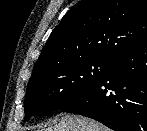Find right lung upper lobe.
I'll return each mask as SVG.
<instances>
[{
    "label": "right lung upper lobe",
    "instance_id": "cb5924a9",
    "mask_svg": "<svg viewBox=\"0 0 147 131\" xmlns=\"http://www.w3.org/2000/svg\"><path fill=\"white\" fill-rule=\"evenodd\" d=\"M145 40L147 0H82L52 31L32 76L90 58L114 60Z\"/></svg>",
    "mask_w": 147,
    "mask_h": 131
}]
</instances>
